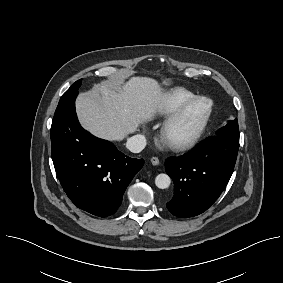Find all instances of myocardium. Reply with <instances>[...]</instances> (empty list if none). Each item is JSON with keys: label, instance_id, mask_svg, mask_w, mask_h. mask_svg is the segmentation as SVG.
<instances>
[{"label": "myocardium", "instance_id": "1", "mask_svg": "<svg viewBox=\"0 0 283 283\" xmlns=\"http://www.w3.org/2000/svg\"><path fill=\"white\" fill-rule=\"evenodd\" d=\"M207 101L209 106L199 126L190 134L178 136L176 130L184 120L189 110L198 102ZM213 113V101L206 96H195L175 112L164 124L161 130L162 141L171 149L184 151L195 146L204 135Z\"/></svg>", "mask_w": 283, "mask_h": 283}]
</instances>
